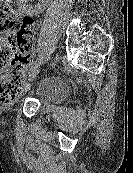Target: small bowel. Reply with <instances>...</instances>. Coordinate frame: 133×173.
<instances>
[{"instance_id":"obj_1","label":"small bowel","mask_w":133,"mask_h":173,"mask_svg":"<svg viewBox=\"0 0 133 173\" xmlns=\"http://www.w3.org/2000/svg\"><path fill=\"white\" fill-rule=\"evenodd\" d=\"M33 54L30 53V54H27L26 57H25V60L21 63L22 65H25V64H28L32 58Z\"/></svg>"}]
</instances>
